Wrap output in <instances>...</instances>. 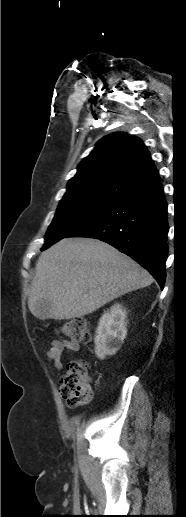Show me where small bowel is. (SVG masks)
<instances>
[{"label": "small bowel", "mask_w": 186, "mask_h": 517, "mask_svg": "<svg viewBox=\"0 0 186 517\" xmlns=\"http://www.w3.org/2000/svg\"><path fill=\"white\" fill-rule=\"evenodd\" d=\"M79 349L80 345L77 342L55 339L52 341L51 346L47 351V358L57 370H61L63 366L62 360L64 350L78 352Z\"/></svg>", "instance_id": "obj_1"}]
</instances>
